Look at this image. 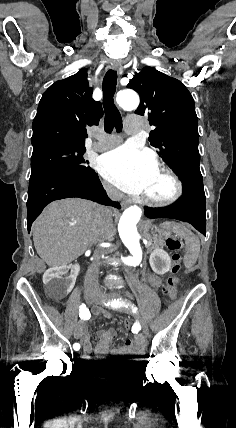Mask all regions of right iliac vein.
Returning a JSON list of instances; mask_svg holds the SVG:
<instances>
[{"label": "right iliac vein", "mask_w": 236, "mask_h": 428, "mask_svg": "<svg viewBox=\"0 0 236 428\" xmlns=\"http://www.w3.org/2000/svg\"><path fill=\"white\" fill-rule=\"evenodd\" d=\"M94 300H96V296L94 295V294H87L86 296H85V301L87 302V304L88 305H93L92 303H93V301ZM84 342V339H81V341H80V345L82 346L83 343Z\"/></svg>", "instance_id": "right-iliac-vein-1"}]
</instances>
